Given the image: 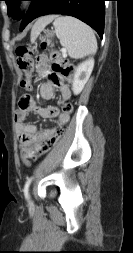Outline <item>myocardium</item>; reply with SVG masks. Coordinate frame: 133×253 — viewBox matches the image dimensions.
<instances>
[{"label": "myocardium", "mask_w": 133, "mask_h": 253, "mask_svg": "<svg viewBox=\"0 0 133 253\" xmlns=\"http://www.w3.org/2000/svg\"><path fill=\"white\" fill-rule=\"evenodd\" d=\"M31 7V3L28 1H21L17 4V10L19 12H25Z\"/></svg>", "instance_id": "myocardium-1"}]
</instances>
